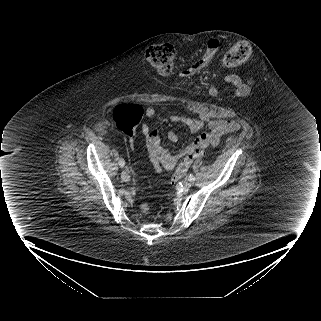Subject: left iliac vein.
<instances>
[{"label": "left iliac vein", "mask_w": 321, "mask_h": 321, "mask_svg": "<svg viewBox=\"0 0 321 321\" xmlns=\"http://www.w3.org/2000/svg\"><path fill=\"white\" fill-rule=\"evenodd\" d=\"M192 186V182L190 180H186L183 183V189L184 191H188Z\"/></svg>", "instance_id": "obj_1"}]
</instances>
